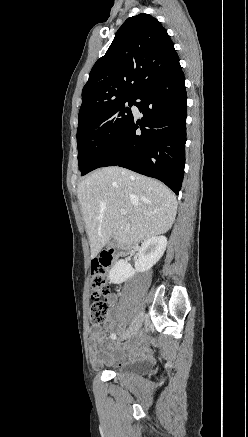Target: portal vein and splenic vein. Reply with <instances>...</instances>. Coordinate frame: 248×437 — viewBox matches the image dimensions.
Returning a JSON list of instances; mask_svg holds the SVG:
<instances>
[{
  "label": "portal vein and splenic vein",
  "mask_w": 248,
  "mask_h": 437,
  "mask_svg": "<svg viewBox=\"0 0 248 437\" xmlns=\"http://www.w3.org/2000/svg\"><path fill=\"white\" fill-rule=\"evenodd\" d=\"M120 213H121V215H126L127 214V212L125 211V210H120Z\"/></svg>",
  "instance_id": "18ae733b"
}]
</instances>
